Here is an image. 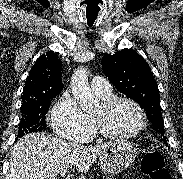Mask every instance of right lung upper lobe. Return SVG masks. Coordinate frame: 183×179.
<instances>
[{
  "label": "right lung upper lobe",
  "instance_id": "obj_1",
  "mask_svg": "<svg viewBox=\"0 0 183 179\" xmlns=\"http://www.w3.org/2000/svg\"><path fill=\"white\" fill-rule=\"evenodd\" d=\"M61 67L62 61L53 52L40 56L26 79L23 104L42 97L57 96L63 89Z\"/></svg>",
  "mask_w": 183,
  "mask_h": 179
}]
</instances>
